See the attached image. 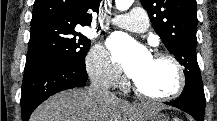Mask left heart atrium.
Segmentation results:
<instances>
[{"label":"left heart atrium","mask_w":217,"mask_h":121,"mask_svg":"<svg viewBox=\"0 0 217 121\" xmlns=\"http://www.w3.org/2000/svg\"><path fill=\"white\" fill-rule=\"evenodd\" d=\"M114 59L120 63L131 78H136L151 59L146 48L122 33L113 34L108 42Z\"/></svg>","instance_id":"obj_1"}]
</instances>
